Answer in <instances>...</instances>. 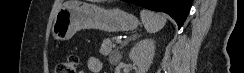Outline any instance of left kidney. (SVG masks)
Returning a JSON list of instances; mask_svg holds the SVG:
<instances>
[{"label": "left kidney", "instance_id": "obj_1", "mask_svg": "<svg viewBox=\"0 0 244 73\" xmlns=\"http://www.w3.org/2000/svg\"><path fill=\"white\" fill-rule=\"evenodd\" d=\"M155 55V41L144 39L136 43L129 53L130 60L137 65L138 73H146Z\"/></svg>", "mask_w": 244, "mask_h": 73}]
</instances>
